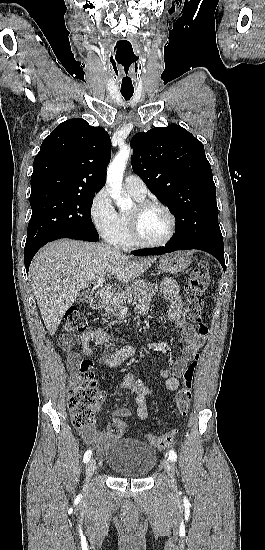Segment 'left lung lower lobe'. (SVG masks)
<instances>
[{
    "mask_svg": "<svg viewBox=\"0 0 265 550\" xmlns=\"http://www.w3.org/2000/svg\"><path fill=\"white\" fill-rule=\"evenodd\" d=\"M184 249H198L203 250L207 253H210L213 255L222 265L223 270L225 271V260H224V251H217L208 247L203 246H194V245H176L172 243H168L164 247L154 248V249H148V250H141L137 253H134L135 256H148V255H158V254H164L173 252L176 250H184Z\"/></svg>",
    "mask_w": 265,
    "mask_h": 550,
    "instance_id": "left-lung-lower-lobe-1",
    "label": "left lung lower lobe"
}]
</instances>
